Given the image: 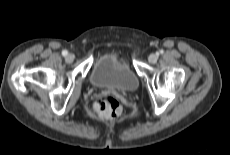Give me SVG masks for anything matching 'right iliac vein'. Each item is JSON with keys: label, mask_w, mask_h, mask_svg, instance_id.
I'll return each instance as SVG.
<instances>
[{"label": "right iliac vein", "mask_w": 230, "mask_h": 155, "mask_svg": "<svg viewBox=\"0 0 230 155\" xmlns=\"http://www.w3.org/2000/svg\"><path fill=\"white\" fill-rule=\"evenodd\" d=\"M66 62L71 63L74 60V56L72 54H68L65 58Z\"/></svg>", "instance_id": "right-iliac-vein-1"}]
</instances>
